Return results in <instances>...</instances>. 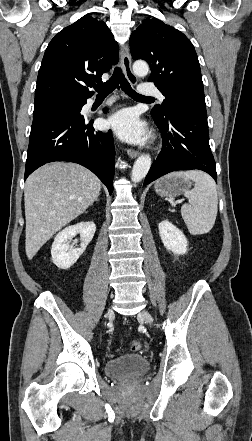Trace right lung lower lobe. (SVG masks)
I'll list each match as a JSON object with an SVG mask.
<instances>
[{"label": "right lung lower lobe", "instance_id": "obj_1", "mask_svg": "<svg viewBox=\"0 0 252 441\" xmlns=\"http://www.w3.org/2000/svg\"><path fill=\"white\" fill-rule=\"evenodd\" d=\"M58 99L80 104L81 108L87 100L75 96ZM80 111H48L33 116L24 180L46 163L70 161L91 170L112 193L115 163L112 134L94 130L93 122L79 116Z\"/></svg>", "mask_w": 252, "mask_h": 441}]
</instances>
